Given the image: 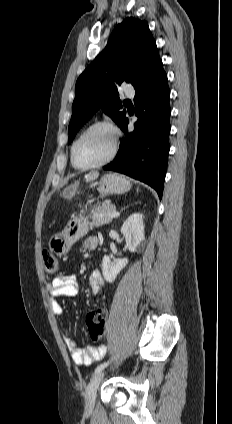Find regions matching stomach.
Segmentation results:
<instances>
[{
	"mask_svg": "<svg viewBox=\"0 0 232 424\" xmlns=\"http://www.w3.org/2000/svg\"><path fill=\"white\" fill-rule=\"evenodd\" d=\"M130 188V181L115 173L104 175L98 183V191L102 197L109 194H123ZM89 224L84 217L71 221L63 232L50 237L48 242L50 251L60 257L66 255L72 245L87 234Z\"/></svg>",
	"mask_w": 232,
	"mask_h": 424,
	"instance_id": "0dacf381",
	"label": "stomach"
}]
</instances>
